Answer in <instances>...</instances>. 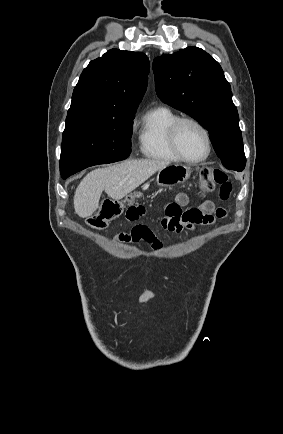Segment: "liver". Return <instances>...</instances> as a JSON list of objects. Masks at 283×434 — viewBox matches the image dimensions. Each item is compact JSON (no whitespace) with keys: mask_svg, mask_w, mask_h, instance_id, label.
<instances>
[{"mask_svg":"<svg viewBox=\"0 0 283 434\" xmlns=\"http://www.w3.org/2000/svg\"><path fill=\"white\" fill-rule=\"evenodd\" d=\"M168 165L169 162L160 160H128L91 171L75 191V212L81 218L91 216L99 207L103 191L112 199L120 200Z\"/></svg>","mask_w":283,"mask_h":434,"instance_id":"liver-1","label":"liver"}]
</instances>
